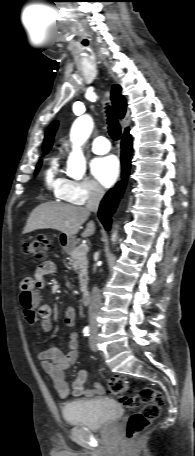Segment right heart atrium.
<instances>
[{
	"label": "right heart atrium",
	"mask_w": 195,
	"mask_h": 456,
	"mask_svg": "<svg viewBox=\"0 0 195 456\" xmlns=\"http://www.w3.org/2000/svg\"><path fill=\"white\" fill-rule=\"evenodd\" d=\"M102 195V188L89 179L80 181L68 180L63 190L64 200L76 205H83L88 201L97 200Z\"/></svg>",
	"instance_id": "obj_1"
}]
</instances>
